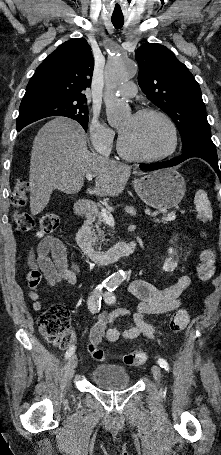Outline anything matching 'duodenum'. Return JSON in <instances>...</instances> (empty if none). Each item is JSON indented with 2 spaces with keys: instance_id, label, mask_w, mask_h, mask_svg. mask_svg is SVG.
I'll return each instance as SVG.
<instances>
[{
  "instance_id": "duodenum-1",
  "label": "duodenum",
  "mask_w": 221,
  "mask_h": 455,
  "mask_svg": "<svg viewBox=\"0 0 221 455\" xmlns=\"http://www.w3.org/2000/svg\"><path fill=\"white\" fill-rule=\"evenodd\" d=\"M79 212L85 217V221L77 232L76 241L89 259L101 264H111L120 257L129 256L134 252V242H120L107 250L96 249L90 239V227L97 217L98 208L88 201H83Z\"/></svg>"
}]
</instances>
